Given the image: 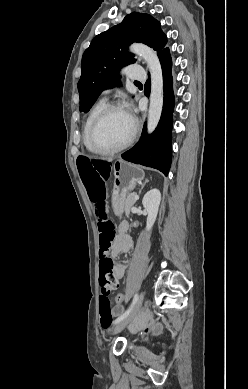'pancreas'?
I'll list each match as a JSON object with an SVG mask.
<instances>
[{"instance_id": "1", "label": "pancreas", "mask_w": 248, "mask_h": 389, "mask_svg": "<svg viewBox=\"0 0 248 389\" xmlns=\"http://www.w3.org/2000/svg\"><path fill=\"white\" fill-rule=\"evenodd\" d=\"M135 199L134 195L131 193L127 194L126 200H125V213H129L130 207L134 204Z\"/></svg>"}]
</instances>
